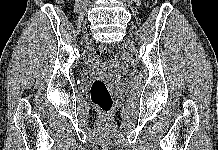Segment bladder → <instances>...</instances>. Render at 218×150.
<instances>
[{
	"mask_svg": "<svg viewBox=\"0 0 218 150\" xmlns=\"http://www.w3.org/2000/svg\"><path fill=\"white\" fill-rule=\"evenodd\" d=\"M92 70L101 71L104 73L110 72L112 70V67L109 63L105 62H96L92 66Z\"/></svg>",
	"mask_w": 218,
	"mask_h": 150,
	"instance_id": "bladder-1",
	"label": "bladder"
}]
</instances>
